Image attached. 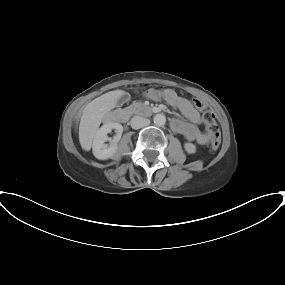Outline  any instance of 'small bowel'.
Returning a JSON list of instances; mask_svg holds the SVG:
<instances>
[{"mask_svg":"<svg viewBox=\"0 0 285 285\" xmlns=\"http://www.w3.org/2000/svg\"><path fill=\"white\" fill-rule=\"evenodd\" d=\"M147 97L152 100L165 99L171 106L176 107L187 119H173L171 128L174 132L183 135L189 141H195L199 145H206L209 142V135L200 130L198 125L201 123L200 114L194 109L189 100L179 96L172 89L158 91L151 89L147 92Z\"/></svg>","mask_w":285,"mask_h":285,"instance_id":"1","label":"small bowel"}]
</instances>
